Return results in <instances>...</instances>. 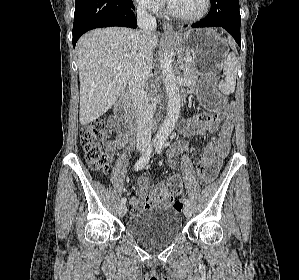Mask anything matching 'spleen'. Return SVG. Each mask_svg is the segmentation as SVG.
<instances>
[{
	"label": "spleen",
	"instance_id": "spleen-1",
	"mask_svg": "<svg viewBox=\"0 0 299 280\" xmlns=\"http://www.w3.org/2000/svg\"><path fill=\"white\" fill-rule=\"evenodd\" d=\"M225 78L220 81L218 88L221 93L229 95L234 92L237 76V57L235 53H230L224 63Z\"/></svg>",
	"mask_w": 299,
	"mask_h": 280
}]
</instances>
